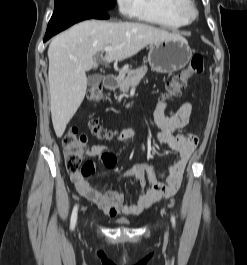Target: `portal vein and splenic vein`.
Masks as SVG:
<instances>
[{
    "mask_svg": "<svg viewBox=\"0 0 247 265\" xmlns=\"http://www.w3.org/2000/svg\"><path fill=\"white\" fill-rule=\"evenodd\" d=\"M118 48H119V47L106 46V47L104 48V51H106V52H110V51H113V50L118 49Z\"/></svg>",
    "mask_w": 247,
    "mask_h": 265,
    "instance_id": "portal-vein-and-splenic-vein-1",
    "label": "portal vein and splenic vein"
}]
</instances>
